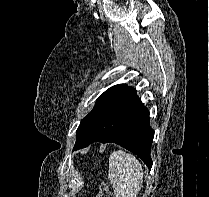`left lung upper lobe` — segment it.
<instances>
[{"mask_svg": "<svg viewBox=\"0 0 209 197\" xmlns=\"http://www.w3.org/2000/svg\"><path fill=\"white\" fill-rule=\"evenodd\" d=\"M130 87L125 84H118L112 86L96 100V104L92 111L81 121L77 133L76 142L82 137L87 129L96 121L100 114L122 94H124Z\"/></svg>", "mask_w": 209, "mask_h": 197, "instance_id": "left-lung-upper-lobe-1", "label": "left lung upper lobe"}]
</instances>
